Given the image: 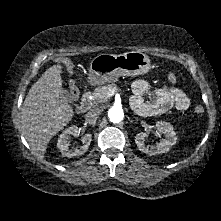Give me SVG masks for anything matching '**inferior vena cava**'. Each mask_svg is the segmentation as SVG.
Returning <instances> with one entry per match:
<instances>
[{
    "instance_id": "602c4592",
    "label": "inferior vena cava",
    "mask_w": 221,
    "mask_h": 221,
    "mask_svg": "<svg viewBox=\"0 0 221 221\" xmlns=\"http://www.w3.org/2000/svg\"><path fill=\"white\" fill-rule=\"evenodd\" d=\"M100 113L101 111L98 108L91 109L89 112L86 113L85 121L87 123H94L98 119Z\"/></svg>"
}]
</instances>
